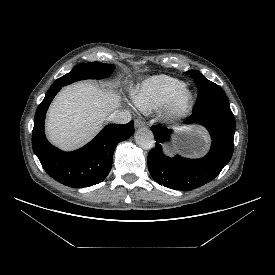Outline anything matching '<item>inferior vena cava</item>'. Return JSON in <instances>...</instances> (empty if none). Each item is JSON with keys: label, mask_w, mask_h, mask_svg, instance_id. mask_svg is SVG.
<instances>
[{"label": "inferior vena cava", "mask_w": 275, "mask_h": 275, "mask_svg": "<svg viewBox=\"0 0 275 275\" xmlns=\"http://www.w3.org/2000/svg\"><path fill=\"white\" fill-rule=\"evenodd\" d=\"M110 121L116 124H125L131 120V114L129 111H114L108 118Z\"/></svg>", "instance_id": "inferior-vena-cava-1"}]
</instances>
